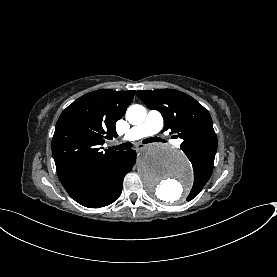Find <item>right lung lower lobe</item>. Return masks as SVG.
<instances>
[{"label":"right lung lower lobe","mask_w":277,"mask_h":277,"mask_svg":"<svg viewBox=\"0 0 277 277\" xmlns=\"http://www.w3.org/2000/svg\"><path fill=\"white\" fill-rule=\"evenodd\" d=\"M136 152H120L93 167L65 187L68 194L88 208H100L117 200L124 176L132 170Z\"/></svg>","instance_id":"right-lung-lower-lobe-1"}]
</instances>
